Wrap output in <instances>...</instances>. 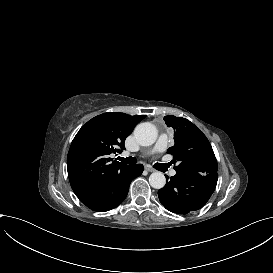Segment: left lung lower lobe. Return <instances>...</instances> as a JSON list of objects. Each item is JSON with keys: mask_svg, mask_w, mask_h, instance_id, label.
<instances>
[{"mask_svg": "<svg viewBox=\"0 0 273 273\" xmlns=\"http://www.w3.org/2000/svg\"><path fill=\"white\" fill-rule=\"evenodd\" d=\"M217 173L176 172L158 191L161 204L169 211L187 214L202 208L215 190ZM168 180V177H167Z\"/></svg>", "mask_w": 273, "mask_h": 273, "instance_id": "obj_1", "label": "left lung lower lobe"}]
</instances>
